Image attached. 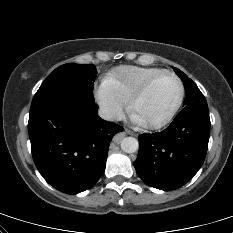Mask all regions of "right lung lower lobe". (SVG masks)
Returning <instances> with one entry per match:
<instances>
[{
  "instance_id": "right-lung-lower-lobe-1",
  "label": "right lung lower lobe",
  "mask_w": 233,
  "mask_h": 233,
  "mask_svg": "<svg viewBox=\"0 0 233 233\" xmlns=\"http://www.w3.org/2000/svg\"><path fill=\"white\" fill-rule=\"evenodd\" d=\"M95 102H58L30 110L28 132L35 165L57 190L91 188L106 167L112 137L122 127L100 118Z\"/></svg>"
}]
</instances>
